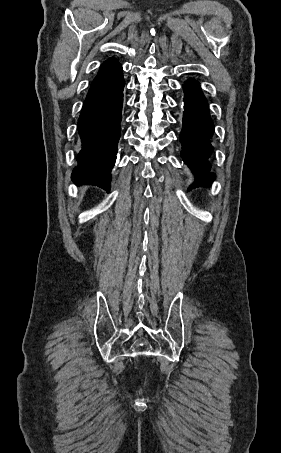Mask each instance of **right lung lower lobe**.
I'll use <instances>...</instances> for the list:
<instances>
[{"label": "right lung lower lobe", "instance_id": "1", "mask_svg": "<svg viewBox=\"0 0 281 453\" xmlns=\"http://www.w3.org/2000/svg\"><path fill=\"white\" fill-rule=\"evenodd\" d=\"M124 86L121 64L115 58L103 62L91 83L78 120L82 149L71 176L77 184L110 189L111 169L121 136Z\"/></svg>", "mask_w": 281, "mask_h": 453}]
</instances>
